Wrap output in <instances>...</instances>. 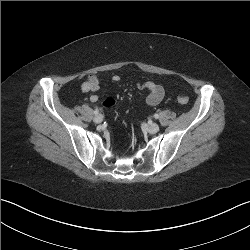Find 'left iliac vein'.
<instances>
[{
  "label": "left iliac vein",
  "mask_w": 250,
  "mask_h": 250,
  "mask_svg": "<svg viewBox=\"0 0 250 250\" xmlns=\"http://www.w3.org/2000/svg\"><path fill=\"white\" fill-rule=\"evenodd\" d=\"M147 131L151 134L157 133L159 131V125L156 123L147 124Z\"/></svg>",
  "instance_id": "4c4485c4"
}]
</instances>
